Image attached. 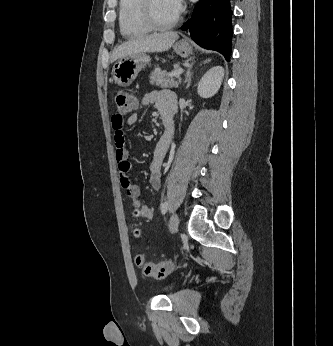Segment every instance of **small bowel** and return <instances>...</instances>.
Masks as SVG:
<instances>
[{
	"instance_id": "small-bowel-1",
	"label": "small bowel",
	"mask_w": 333,
	"mask_h": 346,
	"mask_svg": "<svg viewBox=\"0 0 333 346\" xmlns=\"http://www.w3.org/2000/svg\"><path fill=\"white\" fill-rule=\"evenodd\" d=\"M154 104L158 109L161 117H165L172 123V118L176 111V98L175 95L167 90H154L147 92L139 101H137V106L146 107ZM138 120V114L133 112L127 119L126 124L128 126H133ZM112 127L115 132V145H116V161L118 164L119 174H120V184L125 190L128 197L132 201L133 209L145 219H152L155 214V210L151 206L143 204L139 200L140 188L138 185L133 184L128 178V173L130 172L131 165L129 162V152L125 148L126 134L124 131V120L114 115L112 118ZM171 142V135H162L157 141L152 160L149 165L150 169V184L154 190H159L161 187V166L164 158L168 152Z\"/></svg>"
}]
</instances>
